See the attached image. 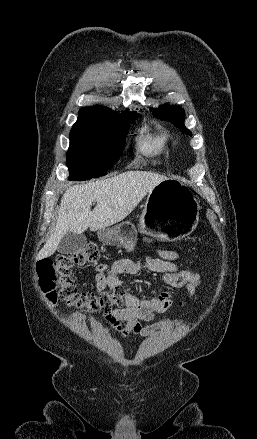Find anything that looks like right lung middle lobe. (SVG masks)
I'll use <instances>...</instances> for the list:
<instances>
[{"instance_id":"right-lung-middle-lobe-1","label":"right lung middle lobe","mask_w":257,"mask_h":439,"mask_svg":"<svg viewBox=\"0 0 257 439\" xmlns=\"http://www.w3.org/2000/svg\"><path fill=\"white\" fill-rule=\"evenodd\" d=\"M138 113L118 121L79 119L70 132L67 152L69 180H88L106 174L123 152L127 130Z\"/></svg>"}]
</instances>
